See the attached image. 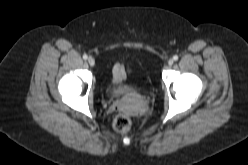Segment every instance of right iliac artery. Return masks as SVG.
<instances>
[{
  "instance_id": "82829eb1",
  "label": "right iliac artery",
  "mask_w": 248,
  "mask_h": 165,
  "mask_svg": "<svg viewBox=\"0 0 248 165\" xmlns=\"http://www.w3.org/2000/svg\"><path fill=\"white\" fill-rule=\"evenodd\" d=\"M88 56L86 54L83 55V59L86 60Z\"/></svg>"
}]
</instances>
